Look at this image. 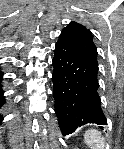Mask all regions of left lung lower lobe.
Returning <instances> with one entry per match:
<instances>
[{
    "mask_svg": "<svg viewBox=\"0 0 124 149\" xmlns=\"http://www.w3.org/2000/svg\"><path fill=\"white\" fill-rule=\"evenodd\" d=\"M53 67L55 111L62 134L88 123L106 125L98 94V64L60 35Z\"/></svg>",
    "mask_w": 124,
    "mask_h": 149,
    "instance_id": "left-lung-lower-lobe-1",
    "label": "left lung lower lobe"
}]
</instances>
